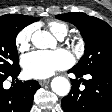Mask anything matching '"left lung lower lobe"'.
I'll use <instances>...</instances> for the list:
<instances>
[{
    "label": "left lung lower lobe",
    "instance_id": "left-lung-lower-lobe-1",
    "mask_svg": "<svg viewBox=\"0 0 112 112\" xmlns=\"http://www.w3.org/2000/svg\"><path fill=\"white\" fill-rule=\"evenodd\" d=\"M76 79L72 80L70 93L61 101L65 112H111L112 111V66L102 67L86 73L70 69ZM90 75L89 80H83L84 75ZM80 78V80H78ZM85 89L79 88L81 82Z\"/></svg>",
    "mask_w": 112,
    "mask_h": 112
}]
</instances>
